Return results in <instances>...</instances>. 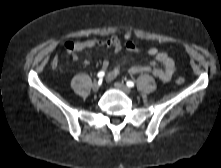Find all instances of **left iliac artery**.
<instances>
[{"label": "left iliac artery", "instance_id": "1", "mask_svg": "<svg viewBox=\"0 0 221 168\" xmlns=\"http://www.w3.org/2000/svg\"><path fill=\"white\" fill-rule=\"evenodd\" d=\"M126 85H127L128 87H133L135 84H134L133 81L128 80V81L126 82Z\"/></svg>", "mask_w": 221, "mask_h": 168}]
</instances>
